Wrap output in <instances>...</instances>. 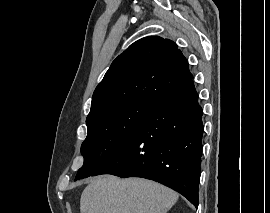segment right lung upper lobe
<instances>
[{
    "label": "right lung upper lobe",
    "instance_id": "cb5924a9",
    "mask_svg": "<svg viewBox=\"0 0 270 213\" xmlns=\"http://www.w3.org/2000/svg\"><path fill=\"white\" fill-rule=\"evenodd\" d=\"M192 79L188 62L173 41L142 38L112 62L93 93L87 120L135 100L157 104Z\"/></svg>",
    "mask_w": 270,
    "mask_h": 213
}]
</instances>
